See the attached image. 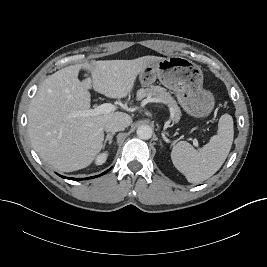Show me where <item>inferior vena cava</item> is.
<instances>
[{"instance_id": "inferior-vena-cava-1", "label": "inferior vena cava", "mask_w": 267, "mask_h": 267, "mask_svg": "<svg viewBox=\"0 0 267 267\" xmlns=\"http://www.w3.org/2000/svg\"><path fill=\"white\" fill-rule=\"evenodd\" d=\"M127 127V124L120 119H111L104 124V130L106 132H118L123 131Z\"/></svg>"}]
</instances>
